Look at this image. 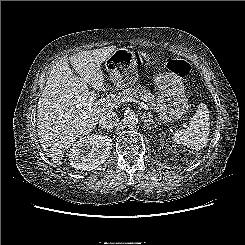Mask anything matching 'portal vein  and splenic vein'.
<instances>
[{"label":"portal vein and splenic vein","mask_w":245,"mask_h":245,"mask_svg":"<svg viewBox=\"0 0 245 245\" xmlns=\"http://www.w3.org/2000/svg\"><path fill=\"white\" fill-rule=\"evenodd\" d=\"M95 99H96V94L94 92H92L91 96L89 97L88 103H87L88 111H92V105H93ZM121 101L122 102H125V101L134 102V103H137L138 105H140L142 108H144L146 110L148 109V106L144 102H141L140 100L132 98V97L123 98ZM82 115H86V112L83 111L82 114H79V116H82ZM183 127L186 128L187 125L184 124Z\"/></svg>","instance_id":"portal-vein-and-splenic-vein-1"}]
</instances>
